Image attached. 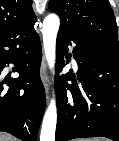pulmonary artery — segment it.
Here are the masks:
<instances>
[{"mask_svg":"<svg viewBox=\"0 0 119 141\" xmlns=\"http://www.w3.org/2000/svg\"><path fill=\"white\" fill-rule=\"evenodd\" d=\"M73 64H74V66L76 67V62H75V60L73 59Z\"/></svg>","mask_w":119,"mask_h":141,"instance_id":"obj_1","label":"pulmonary artery"}]
</instances>
